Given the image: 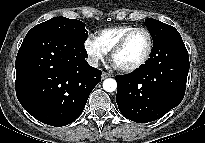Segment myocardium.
<instances>
[{
  "label": "myocardium",
  "instance_id": "obj_1",
  "mask_svg": "<svg viewBox=\"0 0 205 143\" xmlns=\"http://www.w3.org/2000/svg\"><path fill=\"white\" fill-rule=\"evenodd\" d=\"M137 31H143L146 33L148 37V48L147 51L144 55V57L136 64L129 66V67H117L115 66L119 71L124 72V73H131L135 72L139 69H141L150 59L152 51H153V37L151 32L146 28V27H134L127 31L121 39L117 42V44L113 47L110 53V60L114 64L113 60L114 57L125 47L128 39L131 37V35Z\"/></svg>",
  "mask_w": 205,
  "mask_h": 143
}]
</instances>
